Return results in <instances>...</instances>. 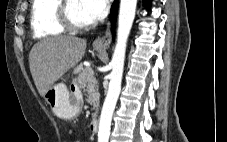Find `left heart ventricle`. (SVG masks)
<instances>
[{
  "instance_id": "left-heart-ventricle-1",
  "label": "left heart ventricle",
  "mask_w": 227,
  "mask_h": 142,
  "mask_svg": "<svg viewBox=\"0 0 227 142\" xmlns=\"http://www.w3.org/2000/svg\"><path fill=\"white\" fill-rule=\"evenodd\" d=\"M68 11L70 16L80 24H87L90 21L85 17L81 10L80 1L79 0H68L67 2Z\"/></svg>"
}]
</instances>
